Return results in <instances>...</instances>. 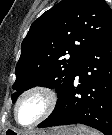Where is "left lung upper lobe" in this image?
Segmentation results:
<instances>
[{
  "label": "left lung upper lobe",
  "mask_w": 112,
  "mask_h": 135,
  "mask_svg": "<svg viewBox=\"0 0 112 135\" xmlns=\"http://www.w3.org/2000/svg\"><path fill=\"white\" fill-rule=\"evenodd\" d=\"M111 24L112 10L105 0H62L44 12L22 42L12 101L35 86L55 88L61 95Z\"/></svg>",
  "instance_id": "obj_1"
}]
</instances>
